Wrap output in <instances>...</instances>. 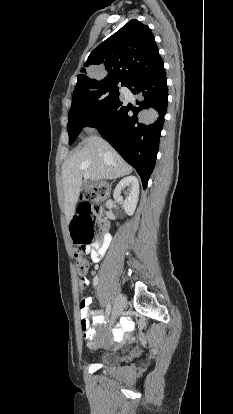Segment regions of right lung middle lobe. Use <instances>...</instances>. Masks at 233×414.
<instances>
[{"instance_id": "1", "label": "right lung middle lobe", "mask_w": 233, "mask_h": 414, "mask_svg": "<svg viewBox=\"0 0 233 414\" xmlns=\"http://www.w3.org/2000/svg\"><path fill=\"white\" fill-rule=\"evenodd\" d=\"M119 84L127 85V83L118 81L102 82L73 95L67 125L69 145L75 141L89 121L119 100Z\"/></svg>"}]
</instances>
